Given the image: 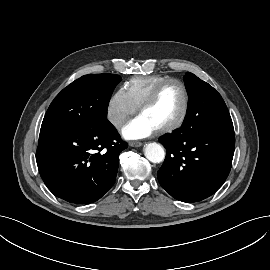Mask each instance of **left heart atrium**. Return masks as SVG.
<instances>
[{
    "label": "left heart atrium",
    "mask_w": 270,
    "mask_h": 270,
    "mask_svg": "<svg viewBox=\"0 0 270 270\" xmlns=\"http://www.w3.org/2000/svg\"><path fill=\"white\" fill-rule=\"evenodd\" d=\"M157 128L142 114L130 120L122 129L127 140H140L151 136Z\"/></svg>",
    "instance_id": "obj_1"
}]
</instances>
